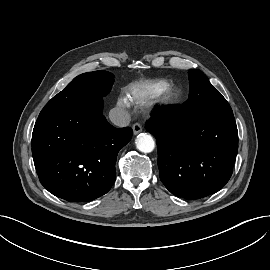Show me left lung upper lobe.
<instances>
[{"label":"left lung upper lobe","mask_w":270,"mask_h":270,"mask_svg":"<svg viewBox=\"0 0 270 270\" xmlns=\"http://www.w3.org/2000/svg\"><path fill=\"white\" fill-rule=\"evenodd\" d=\"M188 73L190 84L189 98L193 99L199 114L204 116L233 114L226 99L209 82L203 72L191 69Z\"/></svg>","instance_id":"left-lung-upper-lobe-1"}]
</instances>
